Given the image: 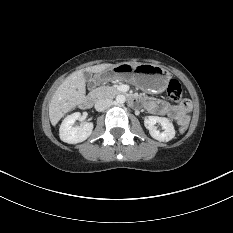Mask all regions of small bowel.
<instances>
[{
  "label": "small bowel",
  "instance_id": "small-bowel-1",
  "mask_svg": "<svg viewBox=\"0 0 233 233\" xmlns=\"http://www.w3.org/2000/svg\"><path fill=\"white\" fill-rule=\"evenodd\" d=\"M146 110L152 114L164 115L175 120L178 125L188 120V113L191 109L189 101H184L179 105H170L160 99H149L144 102Z\"/></svg>",
  "mask_w": 233,
  "mask_h": 233
}]
</instances>
